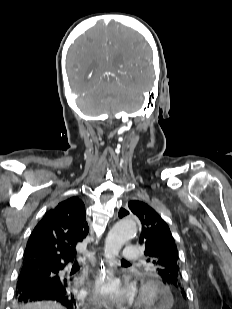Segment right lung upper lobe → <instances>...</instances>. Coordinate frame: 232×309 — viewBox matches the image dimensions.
I'll list each match as a JSON object with an SVG mask.
<instances>
[{
    "instance_id": "cb5924a9",
    "label": "right lung upper lobe",
    "mask_w": 232,
    "mask_h": 309,
    "mask_svg": "<svg viewBox=\"0 0 232 309\" xmlns=\"http://www.w3.org/2000/svg\"><path fill=\"white\" fill-rule=\"evenodd\" d=\"M88 234L85 206L69 198L46 212L33 229L23 255V262L38 265L39 270L56 269L73 262L75 246Z\"/></svg>"
}]
</instances>
